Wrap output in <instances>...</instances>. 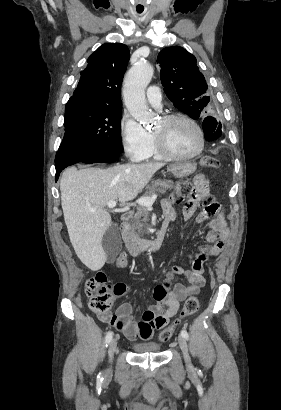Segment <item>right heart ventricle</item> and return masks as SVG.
Masks as SVG:
<instances>
[{"label":"right heart ventricle","mask_w":281,"mask_h":410,"mask_svg":"<svg viewBox=\"0 0 281 410\" xmlns=\"http://www.w3.org/2000/svg\"><path fill=\"white\" fill-rule=\"evenodd\" d=\"M163 158L164 157L160 154V152L157 149L154 137L151 135L150 145H149L145 155L143 156L142 160H149V159L161 160Z\"/></svg>","instance_id":"obj_1"}]
</instances>
